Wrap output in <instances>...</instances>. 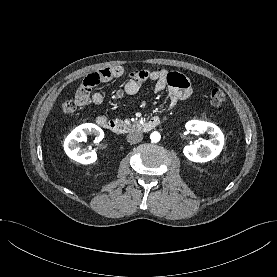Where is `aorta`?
Returning <instances> with one entry per match:
<instances>
[{"label":"aorta","instance_id":"aorta-1","mask_svg":"<svg viewBox=\"0 0 277 277\" xmlns=\"http://www.w3.org/2000/svg\"><path fill=\"white\" fill-rule=\"evenodd\" d=\"M160 138H161V136L158 132H152L151 135H150V139L154 143L159 142Z\"/></svg>","mask_w":277,"mask_h":277}]
</instances>
